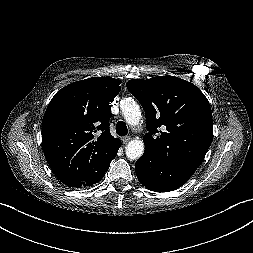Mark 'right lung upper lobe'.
I'll use <instances>...</instances> for the list:
<instances>
[{"instance_id":"obj_1","label":"right lung upper lobe","mask_w":253,"mask_h":253,"mask_svg":"<svg viewBox=\"0 0 253 253\" xmlns=\"http://www.w3.org/2000/svg\"><path fill=\"white\" fill-rule=\"evenodd\" d=\"M121 81L93 77L59 90L42 121V148L50 168L62 181L86 180L106 169L121 141L111 136V103Z\"/></svg>"}]
</instances>
